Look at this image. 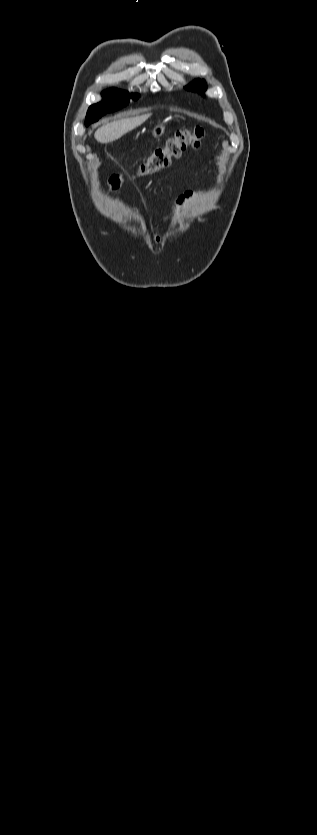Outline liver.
<instances>
[{
    "mask_svg": "<svg viewBox=\"0 0 317 835\" xmlns=\"http://www.w3.org/2000/svg\"><path fill=\"white\" fill-rule=\"evenodd\" d=\"M149 117L150 114H144L108 122L95 132V139L102 144L118 140L126 133L142 125Z\"/></svg>",
    "mask_w": 317,
    "mask_h": 835,
    "instance_id": "liver-1",
    "label": "liver"
}]
</instances>
